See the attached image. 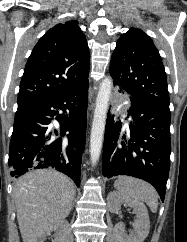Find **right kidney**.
<instances>
[{
    "mask_svg": "<svg viewBox=\"0 0 187 242\" xmlns=\"http://www.w3.org/2000/svg\"><path fill=\"white\" fill-rule=\"evenodd\" d=\"M67 229H68V222L65 220H62L57 225H55L51 230L41 235L36 242H44L46 236L49 235L51 231L56 232L55 239L52 242H63L64 234L67 231Z\"/></svg>",
    "mask_w": 187,
    "mask_h": 242,
    "instance_id": "obj_1",
    "label": "right kidney"
}]
</instances>
